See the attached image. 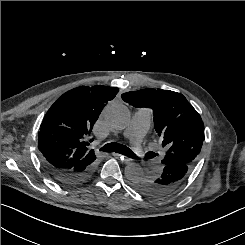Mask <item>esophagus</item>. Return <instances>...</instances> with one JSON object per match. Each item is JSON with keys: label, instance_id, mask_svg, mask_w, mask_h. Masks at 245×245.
I'll return each instance as SVG.
<instances>
[{"label": "esophagus", "instance_id": "34e87169", "mask_svg": "<svg viewBox=\"0 0 245 245\" xmlns=\"http://www.w3.org/2000/svg\"><path fill=\"white\" fill-rule=\"evenodd\" d=\"M112 156L116 157V158H120L121 161L124 162V163H128L130 161V159L128 157L123 156V155H121L119 153H112Z\"/></svg>", "mask_w": 245, "mask_h": 245}]
</instances>
